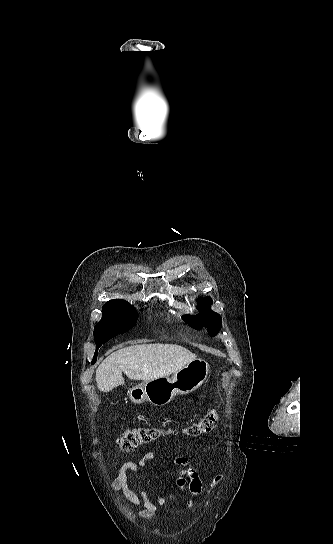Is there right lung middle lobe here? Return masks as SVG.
I'll list each match as a JSON object with an SVG mask.
<instances>
[{
  "label": "right lung middle lobe",
  "mask_w": 333,
  "mask_h": 544,
  "mask_svg": "<svg viewBox=\"0 0 333 544\" xmlns=\"http://www.w3.org/2000/svg\"><path fill=\"white\" fill-rule=\"evenodd\" d=\"M138 314L128 302L107 303L102 307V318L94 327L96 351L92 364L97 360L98 348L118 334L129 331L137 322Z\"/></svg>",
  "instance_id": "right-lung-middle-lobe-1"
}]
</instances>
